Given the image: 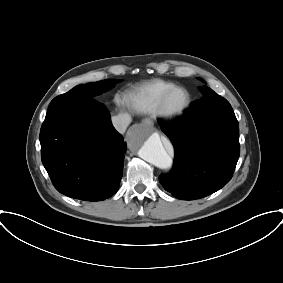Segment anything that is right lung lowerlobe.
<instances>
[{
  "label": "right lung lower lobe",
  "mask_w": 283,
  "mask_h": 283,
  "mask_svg": "<svg viewBox=\"0 0 283 283\" xmlns=\"http://www.w3.org/2000/svg\"><path fill=\"white\" fill-rule=\"evenodd\" d=\"M40 143L42 163L60 193L101 201L117 192L126 144L103 104L89 100L48 110Z\"/></svg>",
  "instance_id": "right-lung-lower-lobe-1"
}]
</instances>
